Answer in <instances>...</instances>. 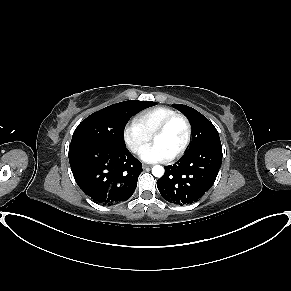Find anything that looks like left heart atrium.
I'll use <instances>...</instances> for the list:
<instances>
[{
  "label": "left heart atrium",
  "mask_w": 291,
  "mask_h": 291,
  "mask_svg": "<svg viewBox=\"0 0 291 291\" xmlns=\"http://www.w3.org/2000/svg\"><path fill=\"white\" fill-rule=\"evenodd\" d=\"M139 156L146 162H162L172 157L161 145L156 143L143 147Z\"/></svg>",
  "instance_id": "obj_1"
}]
</instances>
